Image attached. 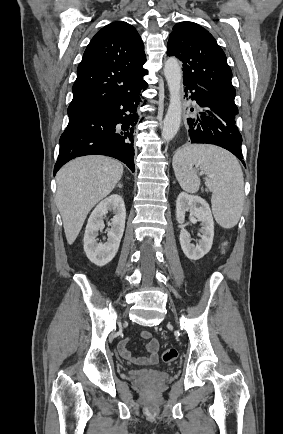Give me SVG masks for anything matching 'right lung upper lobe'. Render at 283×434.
Listing matches in <instances>:
<instances>
[{
    "label": "right lung upper lobe",
    "instance_id": "1",
    "mask_svg": "<svg viewBox=\"0 0 283 434\" xmlns=\"http://www.w3.org/2000/svg\"><path fill=\"white\" fill-rule=\"evenodd\" d=\"M145 62L144 44L132 25H106L92 38L77 68L68 116L135 90L147 74Z\"/></svg>",
    "mask_w": 283,
    "mask_h": 434
}]
</instances>
